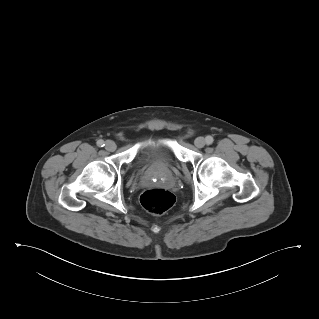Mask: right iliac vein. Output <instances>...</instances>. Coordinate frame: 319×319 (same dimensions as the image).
<instances>
[{
	"label": "right iliac vein",
	"instance_id": "obj_1",
	"mask_svg": "<svg viewBox=\"0 0 319 319\" xmlns=\"http://www.w3.org/2000/svg\"><path fill=\"white\" fill-rule=\"evenodd\" d=\"M105 148L108 150V151H114L116 149V144L114 141L112 140H108L106 141L105 143Z\"/></svg>",
	"mask_w": 319,
	"mask_h": 319
}]
</instances>
